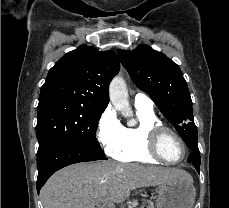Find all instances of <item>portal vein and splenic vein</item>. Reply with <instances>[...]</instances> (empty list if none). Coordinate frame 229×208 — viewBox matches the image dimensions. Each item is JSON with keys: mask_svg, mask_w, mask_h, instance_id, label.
Instances as JSON below:
<instances>
[{"mask_svg": "<svg viewBox=\"0 0 229 208\" xmlns=\"http://www.w3.org/2000/svg\"><path fill=\"white\" fill-rule=\"evenodd\" d=\"M109 208H114L113 204H109Z\"/></svg>", "mask_w": 229, "mask_h": 208, "instance_id": "portal-vein-and-splenic-vein-1", "label": "portal vein and splenic vein"}]
</instances>
